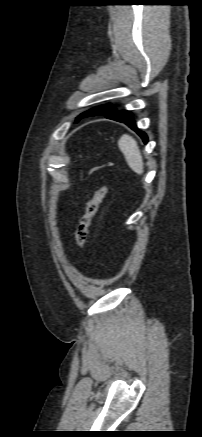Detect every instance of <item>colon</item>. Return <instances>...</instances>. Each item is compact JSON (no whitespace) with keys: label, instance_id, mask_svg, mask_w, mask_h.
I'll use <instances>...</instances> for the list:
<instances>
[{"label":"colon","instance_id":"colon-1","mask_svg":"<svg viewBox=\"0 0 202 437\" xmlns=\"http://www.w3.org/2000/svg\"><path fill=\"white\" fill-rule=\"evenodd\" d=\"M107 192H108L107 185L102 184L95 191L94 195L88 200L86 204L85 212L82 215L74 233L75 244L78 250H80L86 243L89 236L92 220L97 214L102 201L107 195Z\"/></svg>","mask_w":202,"mask_h":437}]
</instances>
